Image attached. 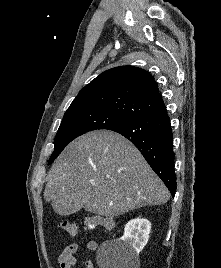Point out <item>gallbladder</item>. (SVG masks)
<instances>
[{"label": "gallbladder", "mask_w": 221, "mask_h": 268, "mask_svg": "<svg viewBox=\"0 0 221 268\" xmlns=\"http://www.w3.org/2000/svg\"><path fill=\"white\" fill-rule=\"evenodd\" d=\"M53 207L54 213H60L61 217H68L81 210L84 207V202L82 199H55Z\"/></svg>", "instance_id": "1"}]
</instances>
